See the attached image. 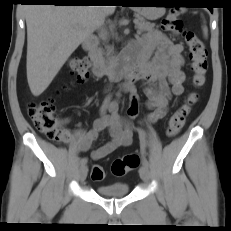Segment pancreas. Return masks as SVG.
Returning <instances> with one entry per match:
<instances>
[{
  "label": "pancreas",
  "mask_w": 231,
  "mask_h": 231,
  "mask_svg": "<svg viewBox=\"0 0 231 231\" xmlns=\"http://www.w3.org/2000/svg\"><path fill=\"white\" fill-rule=\"evenodd\" d=\"M154 27H155L154 23H150L146 21L144 18H139L138 24L136 25V28L138 32L140 33L145 32V31H152ZM106 49H107L106 55L109 57L111 53L113 52V47L107 46ZM99 54L102 55L103 52L100 50Z\"/></svg>",
  "instance_id": "pancreas-1"
}]
</instances>
